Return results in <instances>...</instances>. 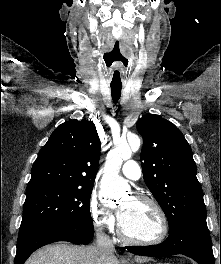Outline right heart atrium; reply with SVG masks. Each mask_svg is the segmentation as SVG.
<instances>
[{
	"instance_id": "d8ad5b80",
	"label": "right heart atrium",
	"mask_w": 221,
	"mask_h": 264,
	"mask_svg": "<svg viewBox=\"0 0 221 264\" xmlns=\"http://www.w3.org/2000/svg\"><path fill=\"white\" fill-rule=\"evenodd\" d=\"M88 213L93 226L100 232H112L115 228V218L111 211L103 206L96 195H92L88 202Z\"/></svg>"
}]
</instances>
